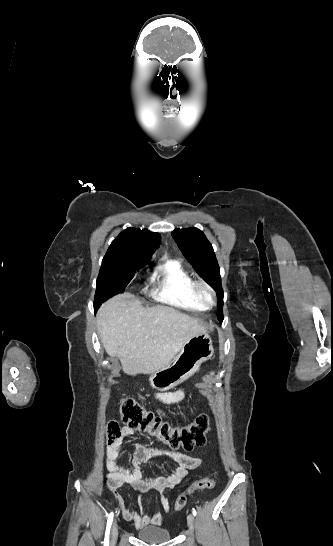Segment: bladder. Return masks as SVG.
<instances>
[{
    "instance_id": "obj_1",
    "label": "bladder",
    "mask_w": 333,
    "mask_h": 546,
    "mask_svg": "<svg viewBox=\"0 0 333 546\" xmlns=\"http://www.w3.org/2000/svg\"><path fill=\"white\" fill-rule=\"evenodd\" d=\"M137 537L146 543L160 544L170 539V533L161 527L147 526L137 532Z\"/></svg>"
}]
</instances>
